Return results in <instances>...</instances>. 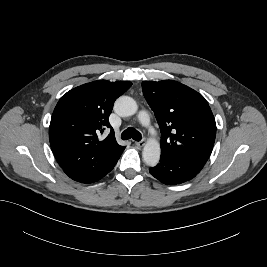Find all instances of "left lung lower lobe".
<instances>
[{"label": "left lung lower lobe", "instance_id": "left-lung-lower-lobe-1", "mask_svg": "<svg viewBox=\"0 0 267 267\" xmlns=\"http://www.w3.org/2000/svg\"><path fill=\"white\" fill-rule=\"evenodd\" d=\"M204 165L188 158L161 155L160 163L149 171L162 183L175 185L193 179Z\"/></svg>", "mask_w": 267, "mask_h": 267}]
</instances>
